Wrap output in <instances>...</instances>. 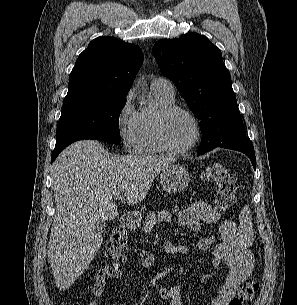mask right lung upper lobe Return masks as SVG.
I'll use <instances>...</instances> for the list:
<instances>
[{"label":"right lung upper lobe","mask_w":297,"mask_h":305,"mask_svg":"<svg viewBox=\"0 0 297 305\" xmlns=\"http://www.w3.org/2000/svg\"><path fill=\"white\" fill-rule=\"evenodd\" d=\"M143 63L139 47L113 37H98L78 57L63 103L92 97L126 96Z\"/></svg>","instance_id":"cb5924a9"}]
</instances>
